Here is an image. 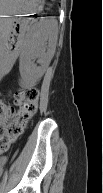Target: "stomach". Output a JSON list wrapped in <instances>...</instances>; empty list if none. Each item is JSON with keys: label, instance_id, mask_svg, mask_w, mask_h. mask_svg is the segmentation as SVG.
<instances>
[{"label": "stomach", "instance_id": "1", "mask_svg": "<svg viewBox=\"0 0 103 193\" xmlns=\"http://www.w3.org/2000/svg\"><path fill=\"white\" fill-rule=\"evenodd\" d=\"M38 0H1V14L5 21L7 17H12L16 14L33 12L36 9Z\"/></svg>", "mask_w": 103, "mask_h": 193}]
</instances>
